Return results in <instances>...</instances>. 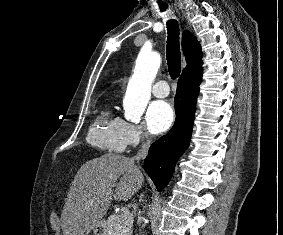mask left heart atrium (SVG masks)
I'll use <instances>...</instances> for the list:
<instances>
[{
    "instance_id": "39dd6f15",
    "label": "left heart atrium",
    "mask_w": 283,
    "mask_h": 235,
    "mask_svg": "<svg viewBox=\"0 0 283 235\" xmlns=\"http://www.w3.org/2000/svg\"><path fill=\"white\" fill-rule=\"evenodd\" d=\"M145 118L150 131L159 134L171 127L174 121V112L168 102L154 101L147 108Z\"/></svg>"
}]
</instances>
